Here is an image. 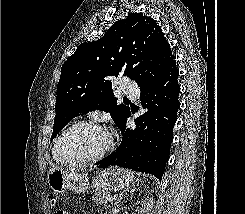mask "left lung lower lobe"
<instances>
[{"instance_id": "1", "label": "left lung lower lobe", "mask_w": 245, "mask_h": 214, "mask_svg": "<svg viewBox=\"0 0 245 214\" xmlns=\"http://www.w3.org/2000/svg\"><path fill=\"white\" fill-rule=\"evenodd\" d=\"M178 75L173 64L158 81L141 90V105L148 111L135 119L136 130L126 129L129 112L120 127L121 145L96 164L99 168L117 165L162 178L180 107Z\"/></svg>"}]
</instances>
